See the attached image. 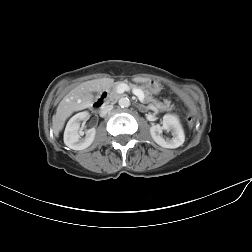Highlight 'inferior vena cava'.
Returning a JSON list of instances; mask_svg holds the SVG:
<instances>
[{
    "label": "inferior vena cava",
    "mask_w": 252,
    "mask_h": 252,
    "mask_svg": "<svg viewBox=\"0 0 252 252\" xmlns=\"http://www.w3.org/2000/svg\"><path fill=\"white\" fill-rule=\"evenodd\" d=\"M113 109V105H105L100 110V115L105 116L107 113H109Z\"/></svg>",
    "instance_id": "inferior-vena-cava-1"
}]
</instances>
